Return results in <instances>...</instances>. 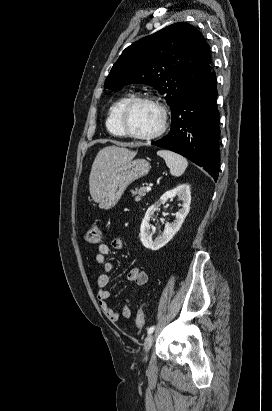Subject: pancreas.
<instances>
[{
	"label": "pancreas",
	"mask_w": 272,
	"mask_h": 411,
	"mask_svg": "<svg viewBox=\"0 0 272 411\" xmlns=\"http://www.w3.org/2000/svg\"><path fill=\"white\" fill-rule=\"evenodd\" d=\"M147 190L145 187L136 188L132 190V195L135 196V202H138L147 194Z\"/></svg>",
	"instance_id": "1"
}]
</instances>
